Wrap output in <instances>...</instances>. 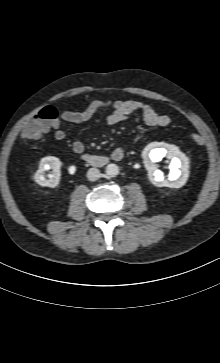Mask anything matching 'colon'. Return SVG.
Returning a JSON list of instances; mask_svg holds the SVG:
<instances>
[{
    "instance_id": "1",
    "label": "colon",
    "mask_w": 220,
    "mask_h": 363,
    "mask_svg": "<svg viewBox=\"0 0 220 363\" xmlns=\"http://www.w3.org/2000/svg\"><path fill=\"white\" fill-rule=\"evenodd\" d=\"M58 116V110L52 105L41 108L33 118L23 126L21 131L22 137L29 140L41 137L58 119ZM191 141L196 145H202L204 143L203 137L196 133L191 135Z\"/></svg>"
}]
</instances>
